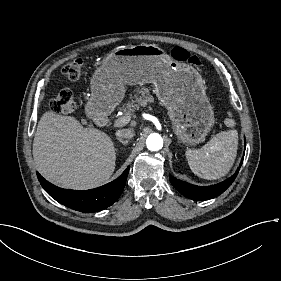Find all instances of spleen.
<instances>
[{
    "label": "spleen",
    "instance_id": "spleen-1",
    "mask_svg": "<svg viewBox=\"0 0 281 281\" xmlns=\"http://www.w3.org/2000/svg\"><path fill=\"white\" fill-rule=\"evenodd\" d=\"M228 118L223 123L226 127L237 125L231 110L226 111ZM239 133L229 130L215 135L201 149L186 152L188 164L193 173L205 180H218L225 177L233 167L238 152Z\"/></svg>",
    "mask_w": 281,
    "mask_h": 281
}]
</instances>
